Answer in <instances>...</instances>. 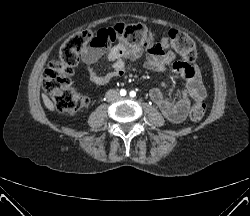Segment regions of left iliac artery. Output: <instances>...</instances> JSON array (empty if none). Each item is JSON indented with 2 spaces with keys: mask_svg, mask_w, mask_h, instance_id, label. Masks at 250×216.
Masks as SVG:
<instances>
[{
  "mask_svg": "<svg viewBox=\"0 0 250 216\" xmlns=\"http://www.w3.org/2000/svg\"><path fill=\"white\" fill-rule=\"evenodd\" d=\"M129 95H130V97H135L136 96V92L135 91H131Z\"/></svg>",
  "mask_w": 250,
  "mask_h": 216,
  "instance_id": "1",
  "label": "left iliac artery"
}]
</instances>
